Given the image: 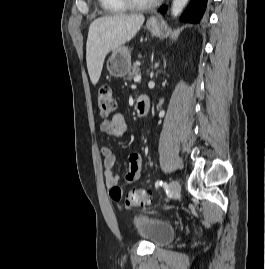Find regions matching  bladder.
I'll return each mask as SVG.
<instances>
[{
  "label": "bladder",
  "mask_w": 265,
  "mask_h": 269,
  "mask_svg": "<svg viewBox=\"0 0 265 269\" xmlns=\"http://www.w3.org/2000/svg\"><path fill=\"white\" fill-rule=\"evenodd\" d=\"M134 232L155 247L169 244L175 237V228L160 219L144 214H136L132 218Z\"/></svg>",
  "instance_id": "bladder-1"
}]
</instances>
